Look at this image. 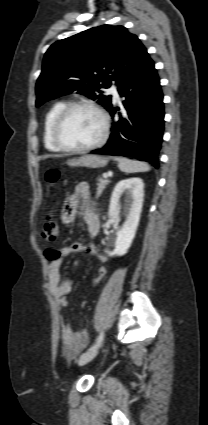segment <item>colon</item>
I'll return each mask as SVG.
<instances>
[{"label":"colon","instance_id":"colon-1","mask_svg":"<svg viewBox=\"0 0 208 425\" xmlns=\"http://www.w3.org/2000/svg\"><path fill=\"white\" fill-rule=\"evenodd\" d=\"M60 176H61V172L57 168L47 169L44 174L45 180L50 186H54L60 179ZM58 234H59V225L52 216H49L43 225L41 235L46 241L53 242L57 239ZM46 256L50 260H55L60 257V253L56 249H48L46 251ZM105 276H106V269L104 267H99L92 274V277L90 279V285L91 286L99 285L101 282H103Z\"/></svg>","mask_w":208,"mask_h":425}]
</instances>
